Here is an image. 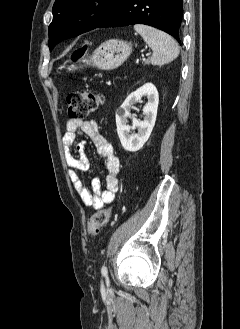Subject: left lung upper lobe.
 <instances>
[{
	"label": "left lung upper lobe",
	"mask_w": 240,
	"mask_h": 329,
	"mask_svg": "<svg viewBox=\"0 0 240 329\" xmlns=\"http://www.w3.org/2000/svg\"><path fill=\"white\" fill-rule=\"evenodd\" d=\"M121 0H56L49 26V48L62 40L93 30Z\"/></svg>",
	"instance_id": "5c2ea615"
}]
</instances>
